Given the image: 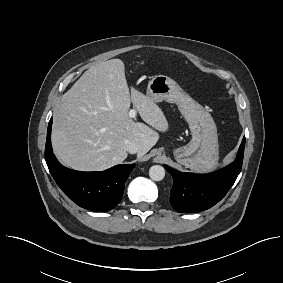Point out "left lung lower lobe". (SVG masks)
<instances>
[{
	"label": "left lung lower lobe",
	"instance_id": "left-lung-lower-lobe-1",
	"mask_svg": "<svg viewBox=\"0 0 283 283\" xmlns=\"http://www.w3.org/2000/svg\"><path fill=\"white\" fill-rule=\"evenodd\" d=\"M245 137L236 160L210 174L182 173L164 165L173 177L170 202L181 213H195L211 208L229 191L239 175L243 162Z\"/></svg>",
	"mask_w": 283,
	"mask_h": 283
}]
</instances>
